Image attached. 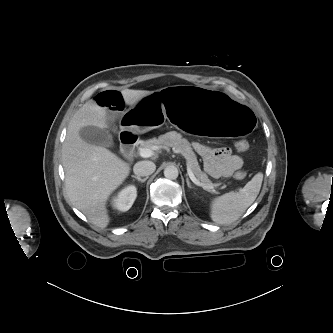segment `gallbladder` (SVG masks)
Masks as SVG:
<instances>
[{
    "instance_id": "1",
    "label": "gallbladder",
    "mask_w": 333,
    "mask_h": 333,
    "mask_svg": "<svg viewBox=\"0 0 333 333\" xmlns=\"http://www.w3.org/2000/svg\"><path fill=\"white\" fill-rule=\"evenodd\" d=\"M81 138L87 143L103 146L112 147L113 138L111 134L105 130L95 126L84 127L79 132Z\"/></svg>"
}]
</instances>
